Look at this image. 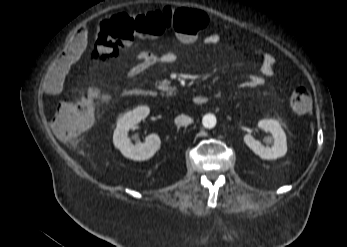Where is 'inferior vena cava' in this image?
<instances>
[{
  "label": "inferior vena cava",
  "instance_id": "602c4592",
  "mask_svg": "<svg viewBox=\"0 0 347 247\" xmlns=\"http://www.w3.org/2000/svg\"><path fill=\"white\" fill-rule=\"evenodd\" d=\"M174 122L177 126H188L189 124L193 122V120L189 116L182 114L177 116Z\"/></svg>",
  "mask_w": 347,
  "mask_h": 247
}]
</instances>
